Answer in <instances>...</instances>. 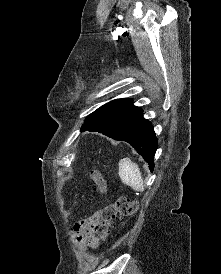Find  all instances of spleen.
<instances>
[{"label": "spleen", "instance_id": "obj_1", "mask_svg": "<svg viewBox=\"0 0 221 274\" xmlns=\"http://www.w3.org/2000/svg\"><path fill=\"white\" fill-rule=\"evenodd\" d=\"M118 165L122 182L135 191H144L143 178L138 165L128 158L121 159Z\"/></svg>", "mask_w": 221, "mask_h": 274}]
</instances>
